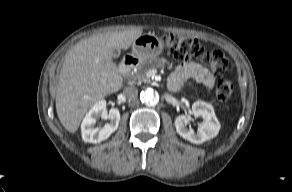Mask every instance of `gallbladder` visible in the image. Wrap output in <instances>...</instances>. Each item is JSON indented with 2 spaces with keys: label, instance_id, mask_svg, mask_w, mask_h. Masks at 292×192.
I'll return each instance as SVG.
<instances>
[{
  "label": "gallbladder",
  "instance_id": "bac80fb5",
  "mask_svg": "<svg viewBox=\"0 0 292 192\" xmlns=\"http://www.w3.org/2000/svg\"><path fill=\"white\" fill-rule=\"evenodd\" d=\"M119 56H120V50H119V49H116V48L112 49V57H113L114 59H116V58H118Z\"/></svg>",
  "mask_w": 292,
  "mask_h": 192
}]
</instances>
